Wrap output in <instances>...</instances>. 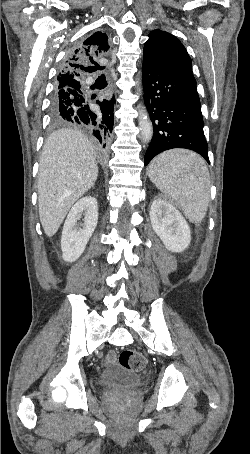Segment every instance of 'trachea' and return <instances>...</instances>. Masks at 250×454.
Listing matches in <instances>:
<instances>
[{
    "label": "trachea",
    "mask_w": 250,
    "mask_h": 454,
    "mask_svg": "<svg viewBox=\"0 0 250 454\" xmlns=\"http://www.w3.org/2000/svg\"><path fill=\"white\" fill-rule=\"evenodd\" d=\"M94 69H96V70H97V69L103 70L104 67H101V66H99V65H96V67H95ZM91 70H92V69H91ZM97 81H100V82H102V83H104V84L107 83V82H106V77H105L104 74L101 75V76H99V77L97 78Z\"/></svg>",
    "instance_id": "1"
}]
</instances>
